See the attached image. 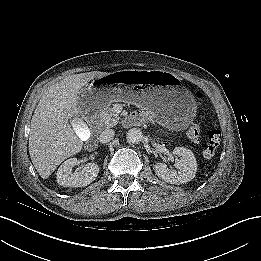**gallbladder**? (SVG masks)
I'll return each instance as SVG.
<instances>
[{
  "label": "gallbladder",
  "instance_id": "gallbladder-1",
  "mask_svg": "<svg viewBox=\"0 0 261 261\" xmlns=\"http://www.w3.org/2000/svg\"><path fill=\"white\" fill-rule=\"evenodd\" d=\"M71 125L76 135L79 136L82 142H86L89 140L91 136V131L84 120H81L79 118L71 119Z\"/></svg>",
  "mask_w": 261,
  "mask_h": 261
}]
</instances>
